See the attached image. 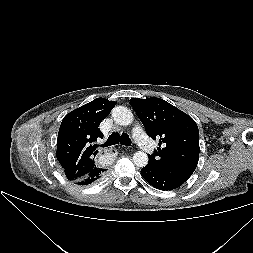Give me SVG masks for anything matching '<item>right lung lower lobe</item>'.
I'll use <instances>...</instances> for the list:
<instances>
[{
    "label": "right lung lower lobe",
    "mask_w": 253,
    "mask_h": 253,
    "mask_svg": "<svg viewBox=\"0 0 253 253\" xmlns=\"http://www.w3.org/2000/svg\"><path fill=\"white\" fill-rule=\"evenodd\" d=\"M105 171L106 169L96 168L93 171H91L88 176H86L81 180L75 181V183L82 186L89 185L99 180L103 176Z\"/></svg>",
    "instance_id": "obj_1"
}]
</instances>
